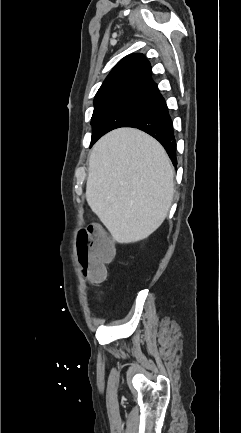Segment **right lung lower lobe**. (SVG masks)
Returning <instances> with one entry per match:
<instances>
[{
    "mask_svg": "<svg viewBox=\"0 0 241 433\" xmlns=\"http://www.w3.org/2000/svg\"><path fill=\"white\" fill-rule=\"evenodd\" d=\"M123 127L138 128L157 139L176 165V141L173 123L162 95L157 91L151 102Z\"/></svg>",
    "mask_w": 241,
    "mask_h": 433,
    "instance_id": "98d812e1",
    "label": "right lung lower lobe"
}]
</instances>
